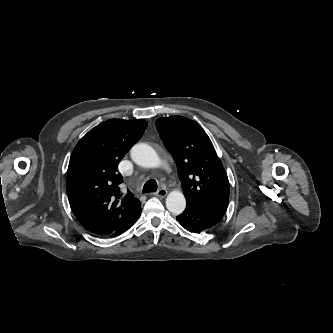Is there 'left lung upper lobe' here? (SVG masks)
<instances>
[{"mask_svg":"<svg viewBox=\"0 0 333 333\" xmlns=\"http://www.w3.org/2000/svg\"><path fill=\"white\" fill-rule=\"evenodd\" d=\"M156 127L176 162L186 201L224 214L229 201L228 177L201 126L186 117L171 116L158 118Z\"/></svg>","mask_w":333,"mask_h":333,"instance_id":"left-lung-upper-lobe-1","label":"left lung upper lobe"}]
</instances>
